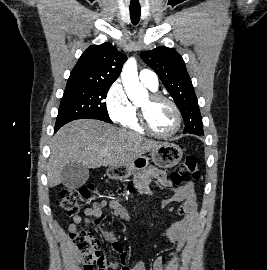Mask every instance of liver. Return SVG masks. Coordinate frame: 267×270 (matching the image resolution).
Instances as JSON below:
<instances>
[{
  "mask_svg": "<svg viewBox=\"0 0 267 270\" xmlns=\"http://www.w3.org/2000/svg\"><path fill=\"white\" fill-rule=\"evenodd\" d=\"M162 144L99 120H75L60 128L52 139L48 185L55 187L62 182V171L69 163L88 169L122 165Z\"/></svg>",
  "mask_w": 267,
  "mask_h": 270,
  "instance_id": "6515ba94",
  "label": "liver"
}]
</instances>
